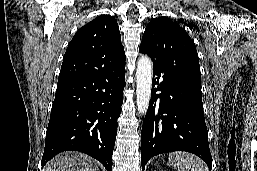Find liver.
Instances as JSON below:
<instances>
[{
  "label": "liver",
  "mask_w": 257,
  "mask_h": 171,
  "mask_svg": "<svg viewBox=\"0 0 257 171\" xmlns=\"http://www.w3.org/2000/svg\"><path fill=\"white\" fill-rule=\"evenodd\" d=\"M44 171H99L98 163L79 152H63L50 160Z\"/></svg>",
  "instance_id": "obj_1"
}]
</instances>
